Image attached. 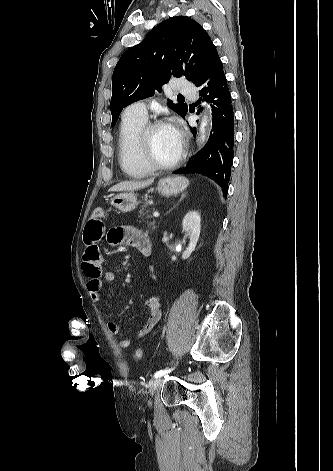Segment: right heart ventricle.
<instances>
[{
  "instance_id": "e07e8e85",
  "label": "right heart ventricle",
  "mask_w": 333,
  "mask_h": 471,
  "mask_svg": "<svg viewBox=\"0 0 333 471\" xmlns=\"http://www.w3.org/2000/svg\"><path fill=\"white\" fill-rule=\"evenodd\" d=\"M146 120L124 115L118 131V160L123 172L131 178H143L154 170L145 163L139 150V136Z\"/></svg>"
}]
</instances>
